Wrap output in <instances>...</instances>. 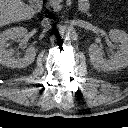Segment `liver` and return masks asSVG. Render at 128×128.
Masks as SVG:
<instances>
[{
	"mask_svg": "<svg viewBox=\"0 0 128 128\" xmlns=\"http://www.w3.org/2000/svg\"><path fill=\"white\" fill-rule=\"evenodd\" d=\"M35 11L22 0H0V27L33 18Z\"/></svg>",
	"mask_w": 128,
	"mask_h": 128,
	"instance_id": "liver-1",
	"label": "liver"
}]
</instances>
